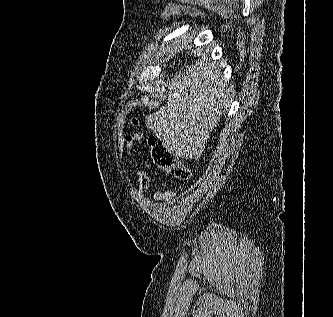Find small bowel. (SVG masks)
Returning a JSON list of instances; mask_svg holds the SVG:
<instances>
[{
  "mask_svg": "<svg viewBox=\"0 0 333 317\" xmlns=\"http://www.w3.org/2000/svg\"><path fill=\"white\" fill-rule=\"evenodd\" d=\"M142 133H134L124 138V146L129 155L133 154V148L137 142L142 141ZM138 193L143 194L149 189L150 179L143 170L138 171ZM176 196V190L171 188H163L157 191L154 195L155 199L161 203L170 202Z\"/></svg>",
  "mask_w": 333,
  "mask_h": 317,
  "instance_id": "small-bowel-1",
  "label": "small bowel"
}]
</instances>
